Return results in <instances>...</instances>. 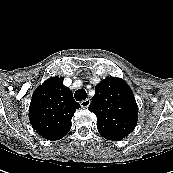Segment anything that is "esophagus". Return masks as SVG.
Masks as SVG:
<instances>
[{
	"label": "esophagus",
	"mask_w": 173,
	"mask_h": 173,
	"mask_svg": "<svg viewBox=\"0 0 173 173\" xmlns=\"http://www.w3.org/2000/svg\"><path fill=\"white\" fill-rule=\"evenodd\" d=\"M91 103V100L90 99H85L83 101H81L80 105L83 107V108H87Z\"/></svg>",
	"instance_id": "esophagus-1"
}]
</instances>
